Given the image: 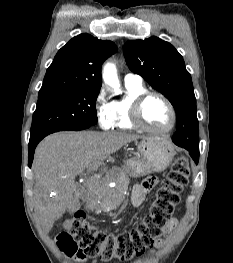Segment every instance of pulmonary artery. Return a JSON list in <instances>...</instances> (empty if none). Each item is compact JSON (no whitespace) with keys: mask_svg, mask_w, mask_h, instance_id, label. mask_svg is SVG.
Returning a JSON list of instances; mask_svg holds the SVG:
<instances>
[{"mask_svg":"<svg viewBox=\"0 0 233 263\" xmlns=\"http://www.w3.org/2000/svg\"><path fill=\"white\" fill-rule=\"evenodd\" d=\"M125 82L142 83V78L139 75L128 73L124 78Z\"/></svg>","mask_w":233,"mask_h":263,"instance_id":"obj_1","label":"pulmonary artery"}]
</instances>
